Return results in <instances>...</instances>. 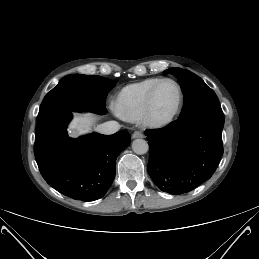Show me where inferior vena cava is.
<instances>
[{"instance_id":"602c4592","label":"inferior vena cava","mask_w":259,"mask_h":259,"mask_svg":"<svg viewBox=\"0 0 259 259\" xmlns=\"http://www.w3.org/2000/svg\"><path fill=\"white\" fill-rule=\"evenodd\" d=\"M120 129V124L117 121H107L96 127V131L100 134H114Z\"/></svg>"}]
</instances>
